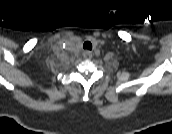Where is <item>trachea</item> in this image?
Listing matches in <instances>:
<instances>
[{"mask_svg":"<svg viewBox=\"0 0 172 134\" xmlns=\"http://www.w3.org/2000/svg\"><path fill=\"white\" fill-rule=\"evenodd\" d=\"M83 48L87 50H92V44L89 41L84 42Z\"/></svg>","mask_w":172,"mask_h":134,"instance_id":"obj_1","label":"trachea"}]
</instances>
